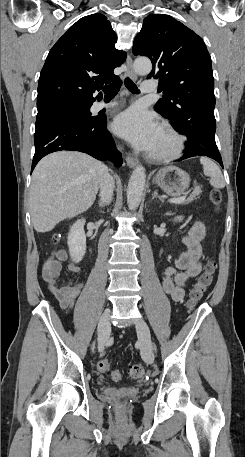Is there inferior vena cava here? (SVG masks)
Returning <instances> with one entry per match:
<instances>
[{
	"mask_svg": "<svg viewBox=\"0 0 245 457\" xmlns=\"http://www.w3.org/2000/svg\"><path fill=\"white\" fill-rule=\"evenodd\" d=\"M113 188L114 178L108 172L105 178H102L100 182V196L102 204H106V202H110V200H112Z\"/></svg>",
	"mask_w": 245,
	"mask_h": 457,
	"instance_id": "602c4592",
	"label": "inferior vena cava"
}]
</instances>
